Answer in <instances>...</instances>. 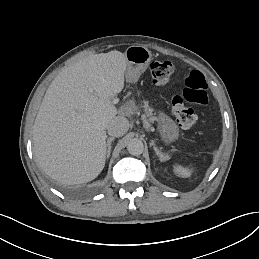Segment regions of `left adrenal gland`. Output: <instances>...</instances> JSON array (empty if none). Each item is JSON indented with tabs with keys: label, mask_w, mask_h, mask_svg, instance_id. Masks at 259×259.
<instances>
[{
	"label": "left adrenal gland",
	"mask_w": 259,
	"mask_h": 259,
	"mask_svg": "<svg viewBox=\"0 0 259 259\" xmlns=\"http://www.w3.org/2000/svg\"><path fill=\"white\" fill-rule=\"evenodd\" d=\"M154 146V144H153ZM154 150L157 154V156L160 158V161H166L170 159V156L168 154L162 153L156 146H154Z\"/></svg>",
	"instance_id": "a2214340"
}]
</instances>
